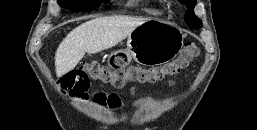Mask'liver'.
Segmentation results:
<instances>
[{
  "mask_svg": "<svg viewBox=\"0 0 257 130\" xmlns=\"http://www.w3.org/2000/svg\"><path fill=\"white\" fill-rule=\"evenodd\" d=\"M148 20L131 16H108L92 19L76 27L56 50L57 77L73 70L86 52L95 54L117 45Z\"/></svg>",
  "mask_w": 257,
  "mask_h": 130,
  "instance_id": "liver-1",
  "label": "liver"
}]
</instances>
